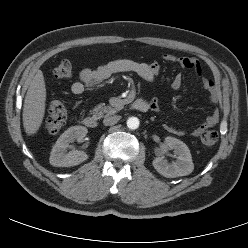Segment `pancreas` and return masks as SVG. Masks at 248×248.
Wrapping results in <instances>:
<instances>
[{"label": "pancreas", "mask_w": 248, "mask_h": 248, "mask_svg": "<svg viewBox=\"0 0 248 248\" xmlns=\"http://www.w3.org/2000/svg\"><path fill=\"white\" fill-rule=\"evenodd\" d=\"M117 108H112L111 106H105L104 104H99L95 106L92 110L93 114L96 116H101L103 114H112L115 113Z\"/></svg>", "instance_id": "obj_1"}]
</instances>
